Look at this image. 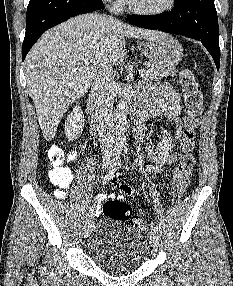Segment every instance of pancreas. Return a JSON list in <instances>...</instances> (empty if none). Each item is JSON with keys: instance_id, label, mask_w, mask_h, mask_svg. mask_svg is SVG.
Here are the masks:
<instances>
[{"instance_id": "pancreas-1", "label": "pancreas", "mask_w": 233, "mask_h": 286, "mask_svg": "<svg viewBox=\"0 0 233 286\" xmlns=\"http://www.w3.org/2000/svg\"><path fill=\"white\" fill-rule=\"evenodd\" d=\"M148 70L145 75L142 76V79L145 81H157L163 77L172 76L174 77L178 72L175 68H164L160 66L153 65L148 63Z\"/></svg>"}]
</instances>
